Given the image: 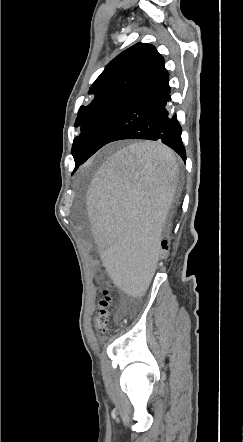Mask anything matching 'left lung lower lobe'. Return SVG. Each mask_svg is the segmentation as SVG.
<instances>
[{"label": "left lung lower lobe", "instance_id": "obj_1", "mask_svg": "<svg viewBox=\"0 0 243 442\" xmlns=\"http://www.w3.org/2000/svg\"><path fill=\"white\" fill-rule=\"evenodd\" d=\"M169 76L162 58L147 77L111 112L88 148L86 161L104 145L123 139L159 140L186 161L181 126L168 112Z\"/></svg>", "mask_w": 243, "mask_h": 442}]
</instances>
